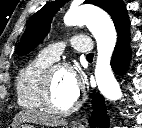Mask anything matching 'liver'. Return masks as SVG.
<instances>
[{"instance_id":"6515ba94","label":"liver","mask_w":142,"mask_h":128,"mask_svg":"<svg viewBox=\"0 0 142 128\" xmlns=\"http://www.w3.org/2000/svg\"><path fill=\"white\" fill-rule=\"evenodd\" d=\"M24 122L37 123L52 127L66 125V122L58 117L51 116L44 112L31 110L21 111L16 114L13 120V127L16 128L18 125Z\"/></svg>"}]
</instances>
